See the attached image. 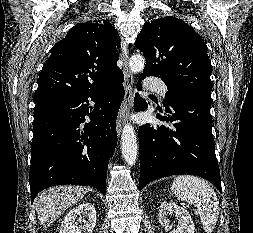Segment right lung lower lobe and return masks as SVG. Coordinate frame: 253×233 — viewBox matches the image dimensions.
Instances as JSON below:
<instances>
[{
	"mask_svg": "<svg viewBox=\"0 0 253 233\" xmlns=\"http://www.w3.org/2000/svg\"><path fill=\"white\" fill-rule=\"evenodd\" d=\"M123 73L103 87L36 102L31 146L30 190L90 185L103 195L109 159L117 144L116 118L124 97ZM89 100L95 102L94 108ZM90 118L89 123L85 117Z\"/></svg>",
	"mask_w": 253,
	"mask_h": 233,
	"instance_id": "98d812e1",
	"label": "right lung lower lobe"
}]
</instances>
